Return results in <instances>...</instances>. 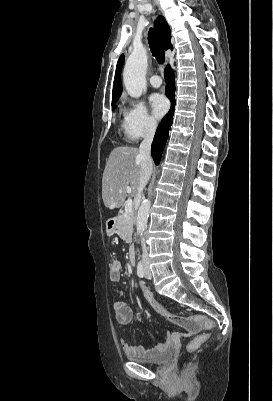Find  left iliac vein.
Here are the masks:
<instances>
[{
	"label": "left iliac vein",
	"mask_w": 273,
	"mask_h": 401,
	"mask_svg": "<svg viewBox=\"0 0 273 401\" xmlns=\"http://www.w3.org/2000/svg\"><path fill=\"white\" fill-rule=\"evenodd\" d=\"M144 267H145L144 268L145 277L148 278V279L152 278V274H151V271H150V269L148 267V263L147 262L144 263Z\"/></svg>",
	"instance_id": "obj_1"
}]
</instances>
